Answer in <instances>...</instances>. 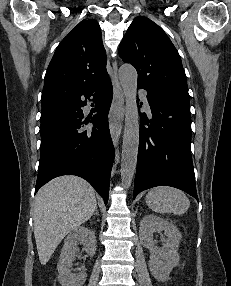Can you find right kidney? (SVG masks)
<instances>
[{
	"label": "right kidney",
	"mask_w": 231,
	"mask_h": 286,
	"mask_svg": "<svg viewBox=\"0 0 231 286\" xmlns=\"http://www.w3.org/2000/svg\"><path fill=\"white\" fill-rule=\"evenodd\" d=\"M78 242L84 245V250L89 255L95 254L97 245L94 232L86 227H78L72 231L64 241L57 265L58 281L62 286H82L86 281L87 274L85 272L78 274L71 272Z\"/></svg>",
	"instance_id": "right-kidney-1"
}]
</instances>
